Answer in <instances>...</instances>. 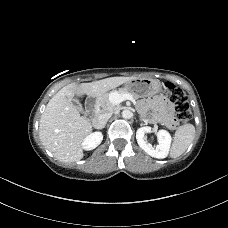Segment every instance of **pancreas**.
<instances>
[{
	"instance_id": "cf45deb5",
	"label": "pancreas",
	"mask_w": 228,
	"mask_h": 228,
	"mask_svg": "<svg viewBox=\"0 0 228 228\" xmlns=\"http://www.w3.org/2000/svg\"><path fill=\"white\" fill-rule=\"evenodd\" d=\"M117 93V94H130L133 97L137 98L133 93L128 91L126 88H120L119 90L111 91L110 93L104 94L103 96L99 97L97 99V105L100 106L104 111H113L115 109V106L111 103V95Z\"/></svg>"
}]
</instances>
